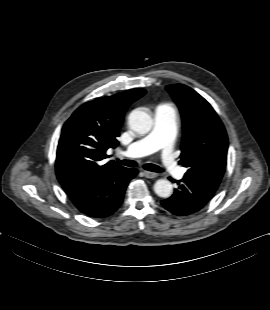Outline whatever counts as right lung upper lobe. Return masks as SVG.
<instances>
[{
	"label": "right lung upper lobe",
	"instance_id": "cb5924a9",
	"mask_svg": "<svg viewBox=\"0 0 270 310\" xmlns=\"http://www.w3.org/2000/svg\"><path fill=\"white\" fill-rule=\"evenodd\" d=\"M144 89H131L95 99L80 106L63 126L56 155L60 183L101 174L119 167L115 161L101 164L106 151L118 145L117 137L128 107Z\"/></svg>",
	"mask_w": 270,
	"mask_h": 310
}]
</instances>
